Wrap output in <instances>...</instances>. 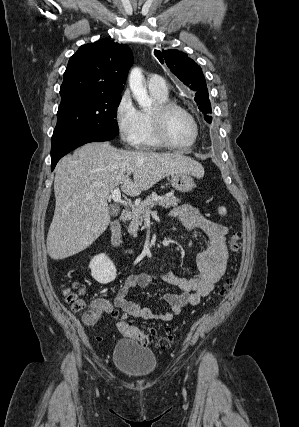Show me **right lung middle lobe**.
<instances>
[{
  "mask_svg": "<svg viewBox=\"0 0 299 427\" xmlns=\"http://www.w3.org/2000/svg\"><path fill=\"white\" fill-rule=\"evenodd\" d=\"M120 101V94L101 93H81L62 99L51 143L76 134L117 135Z\"/></svg>",
  "mask_w": 299,
  "mask_h": 427,
  "instance_id": "1",
  "label": "right lung middle lobe"
}]
</instances>
